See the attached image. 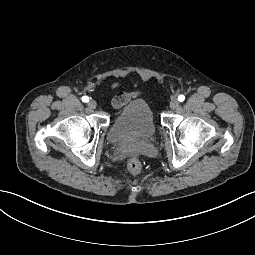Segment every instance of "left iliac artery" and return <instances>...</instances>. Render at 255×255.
I'll use <instances>...</instances> for the list:
<instances>
[{
    "label": "left iliac artery",
    "instance_id": "44dca946",
    "mask_svg": "<svg viewBox=\"0 0 255 255\" xmlns=\"http://www.w3.org/2000/svg\"><path fill=\"white\" fill-rule=\"evenodd\" d=\"M184 99H185V96H184V95H179L178 100H179L180 102L184 101Z\"/></svg>",
    "mask_w": 255,
    "mask_h": 255
}]
</instances>
